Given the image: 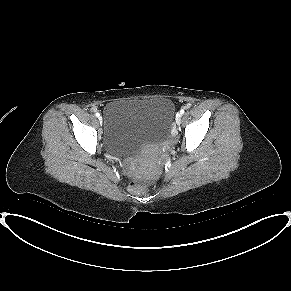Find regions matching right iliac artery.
<instances>
[{"label": "right iliac artery", "mask_w": 291, "mask_h": 291, "mask_svg": "<svg viewBox=\"0 0 291 291\" xmlns=\"http://www.w3.org/2000/svg\"><path fill=\"white\" fill-rule=\"evenodd\" d=\"M97 117H99L100 116V114L98 113V112H96V114H95Z\"/></svg>", "instance_id": "1"}]
</instances>
